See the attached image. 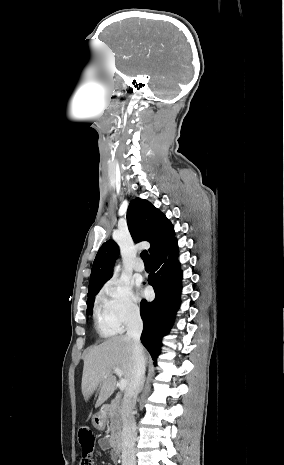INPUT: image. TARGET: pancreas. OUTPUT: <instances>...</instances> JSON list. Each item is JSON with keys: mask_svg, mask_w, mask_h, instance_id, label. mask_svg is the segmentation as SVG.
Masks as SVG:
<instances>
[{"mask_svg": "<svg viewBox=\"0 0 284 465\" xmlns=\"http://www.w3.org/2000/svg\"><path fill=\"white\" fill-rule=\"evenodd\" d=\"M120 397H116L113 399L110 409L108 411V417L110 419V431H111V439L115 441L117 435H119L121 431V407H120Z\"/></svg>", "mask_w": 284, "mask_h": 465, "instance_id": "1", "label": "pancreas"}]
</instances>
